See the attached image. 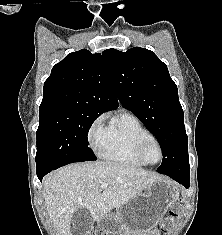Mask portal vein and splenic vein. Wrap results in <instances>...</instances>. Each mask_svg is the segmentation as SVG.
<instances>
[{
    "label": "portal vein and splenic vein",
    "mask_w": 222,
    "mask_h": 235,
    "mask_svg": "<svg viewBox=\"0 0 222 235\" xmlns=\"http://www.w3.org/2000/svg\"><path fill=\"white\" fill-rule=\"evenodd\" d=\"M100 187H101V188H107V187H108V184H107V183H102V184L100 185Z\"/></svg>",
    "instance_id": "1"
}]
</instances>
